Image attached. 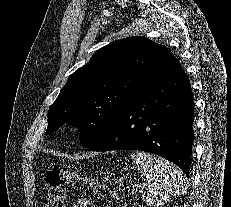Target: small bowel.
Segmentation results:
<instances>
[{
    "label": "small bowel",
    "mask_w": 231,
    "mask_h": 207,
    "mask_svg": "<svg viewBox=\"0 0 231 207\" xmlns=\"http://www.w3.org/2000/svg\"><path fill=\"white\" fill-rule=\"evenodd\" d=\"M72 207H96V206L87 199H79L75 201Z\"/></svg>",
    "instance_id": "small-bowel-1"
}]
</instances>
